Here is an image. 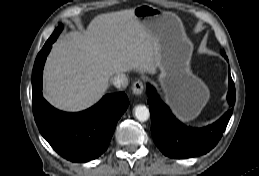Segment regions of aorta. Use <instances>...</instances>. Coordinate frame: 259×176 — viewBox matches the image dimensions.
<instances>
[{
	"label": "aorta",
	"mask_w": 259,
	"mask_h": 176,
	"mask_svg": "<svg viewBox=\"0 0 259 176\" xmlns=\"http://www.w3.org/2000/svg\"><path fill=\"white\" fill-rule=\"evenodd\" d=\"M134 116L141 122L147 121L150 117L149 109L145 105H138L134 109Z\"/></svg>",
	"instance_id": "obj_1"
}]
</instances>
